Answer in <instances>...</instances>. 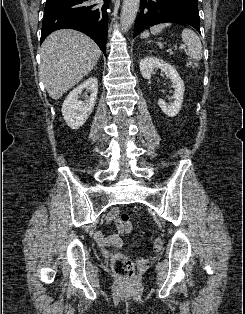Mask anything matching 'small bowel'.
<instances>
[{"instance_id":"obj_1","label":"small bowel","mask_w":245,"mask_h":314,"mask_svg":"<svg viewBox=\"0 0 245 314\" xmlns=\"http://www.w3.org/2000/svg\"><path fill=\"white\" fill-rule=\"evenodd\" d=\"M106 221L108 223L114 222L117 226L118 232H123L120 228L118 222V209L113 208L106 216ZM94 238L100 246H122L123 240L119 234L104 235L101 231H96L94 233Z\"/></svg>"}]
</instances>
